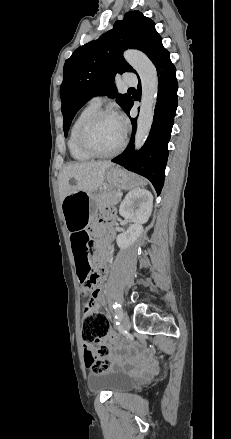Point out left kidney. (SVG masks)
I'll use <instances>...</instances> for the list:
<instances>
[{
  "label": "left kidney",
  "instance_id": "1",
  "mask_svg": "<svg viewBox=\"0 0 231 439\" xmlns=\"http://www.w3.org/2000/svg\"><path fill=\"white\" fill-rule=\"evenodd\" d=\"M153 196L146 190L136 188L128 192L119 207V214L133 224L127 231L119 234L116 242L119 248L125 249L131 246L143 232V224L151 215Z\"/></svg>",
  "mask_w": 231,
  "mask_h": 439
}]
</instances>
